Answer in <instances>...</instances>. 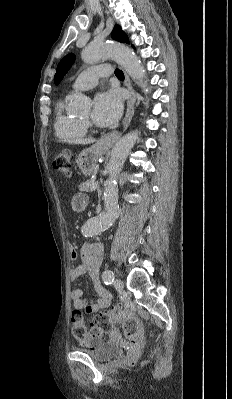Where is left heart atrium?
Instances as JSON below:
<instances>
[{"label":"left heart atrium","instance_id":"1","mask_svg":"<svg viewBox=\"0 0 232 399\" xmlns=\"http://www.w3.org/2000/svg\"><path fill=\"white\" fill-rule=\"evenodd\" d=\"M122 109L120 93L108 91L96 97L91 118L99 126H110L118 121Z\"/></svg>","mask_w":232,"mask_h":399}]
</instances>
